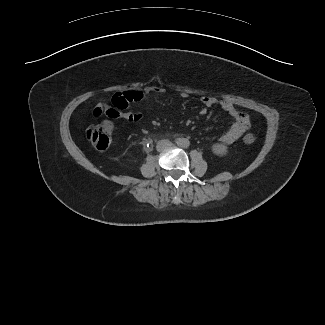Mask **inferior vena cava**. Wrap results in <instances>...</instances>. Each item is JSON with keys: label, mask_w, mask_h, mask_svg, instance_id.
<instances>
[{"label": "inferior vena cava", "mask_w": 325, "mask_h": 325, "mask_svg": "<svg viewBox=\"0 0 325 325\" xmlns=\"http://www.w3.org/2000/svg\"><path fill=\"white\" fill-rule=\"evenodd\" d=\"M172 145V143L169 140H161L157 143V151H163L166 148L170 147Z\"/></svg>", "instance_id": "inferior-vena-cava-1"}]
</instances>
